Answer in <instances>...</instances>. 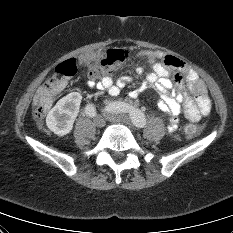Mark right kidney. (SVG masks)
Returning a JSON list of instances; mask_svg holds the SVG:
<instances>
[{"label": "right kidney", "mask_w": 233, "mask_h": 233, "mask_svg": "<svg viewBox=\"0 0 233 233\" xmlns=\"http://www.w3.org/2000/svg\"><path fill=\"white\" fill-rule=\"evenodd\" d=\"M81 100L82 95L78 92L69 93L61 98L46 117L50 131L60 137L70 133L79 113Z\"/></svg>", "instance_id": "right-kidney-1"}]
</instances>
